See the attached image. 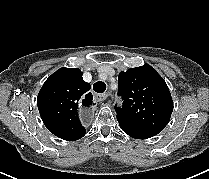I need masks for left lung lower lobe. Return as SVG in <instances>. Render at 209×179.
<instances>
[{
	"mask_svg": "<svg viewBox=\"0 0 209 179\" xmlns=\"http://www.w3.org/2000/svg\"><path fill=\"white\" fill-rule=\"evenodd\" d=\"M117 120L119 122V125L121 129L128 134L129 136L135 138V139H147L150 137L155 136L158 133L152 132L150 130L144 129L142 127H139L137 125H134L122 118L117 117Z\"/></svg>",
	"mask_w": 209,
	"mask_h": 179,
	"instance_id": "1",
	"label": "left lung lower lobe"
}]
</instances>
